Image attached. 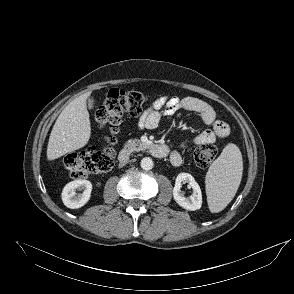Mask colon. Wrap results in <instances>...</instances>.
I'll return each instance as SVG.
<instances>
[{"label":"colon","mask_w":294,"mask_h":294,"mask_svg":"<svg viewBox=\"0 0 294 294\" xmlns=\"http://www.w3.org/2000/svg\"><path fill=\"white\" fill-rule=\"evenodd\" d=\"M146 100V97L137 91L111 89L95 113L96 120L100 127H107L115 134L123 115H140ZM109 143H115L114 135L109 137ZM216 156L217 148L212 143L199 144L193 153L194 161L200 168H207ZM64 165L73 179H84L111 170L113 151L108 145L102 149L93 147L80 153L73 152L64 158Z\"/></svg>","instance_id":"obj_1"}]
</instances>
